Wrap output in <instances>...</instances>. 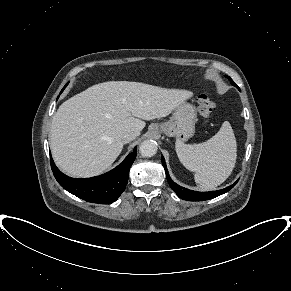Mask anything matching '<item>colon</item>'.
<instances>
[{"mask_svg":"<svg viewBox=\"0 0 291 291\" xmlns=\"http://www.w3.org/2000/svg\"><path fill=\"white\" fill-rule=\"evenodd\" d=\"M215 104L211 98L206 95H200L198 98V111L205 121H208L212 115Z\"/></svg>","mask_w":291,"mask_h":291,"instance_id":"colon-1","label":"colon"}]
</instances>
